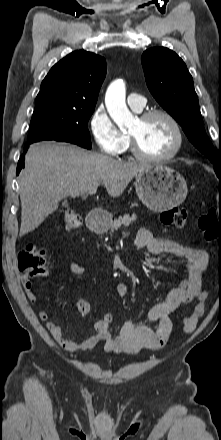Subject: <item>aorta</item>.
<instances>
[{
	"instance_id": "obj_1",
	"label": "aorta",
	"mask_w": 221,
	"mask_h": 440,
	"mask_svg": "<svg viewBox=\"0 0 221 440\" xmlns=\"http://www.w3.org/2000/svg\"><path fill=\"white\" fill-rule=\"evenodd\" d=\"M126 89L123 80L112 82L105 95V105L112 120L122 129L129 126L134 117L129 111L126 101Z\"/></svg>"
}]
</instances>
